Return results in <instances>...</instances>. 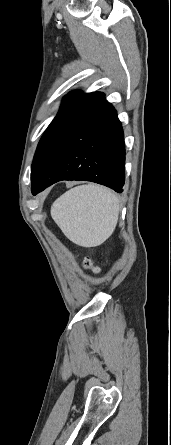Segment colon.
<instances>
[{
	"instance_id": "obj_1",
	"label": "colon",
	"mask_w": 171,
	"mask_h": 445,
	"mask_svg": "<svg viewBox=\"0 0 171 445\" xmlns=\"http://www.w3.org/2000/svg\"><path fill=\"white\" fill-rule=\"evenodd\" d=\"M84 265L88 268H92L95 272H98V269L93 266V262L90 257L84 258Z\"/></svg>"
}]
</instances>
